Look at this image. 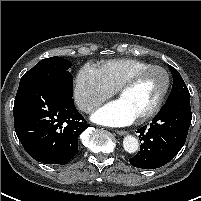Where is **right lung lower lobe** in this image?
<instances>
[{"label": "right lung lower lobe", "mask_w": 201, "mask_h": 201, "mask_svg": "<svg viewBox=\"0 0 201 201\" xmlns=\"http://www.w3.org/2000/svg\"><path fill=\"white\" fill-rule=\"evenodd\" d=\"M13 115L24 149L44 164L71 161L78 153V137L88 127L74 105L72 91L45 78L20 82Z\"/></svg>", "instance_id": "obj_1"}]
</instances>
